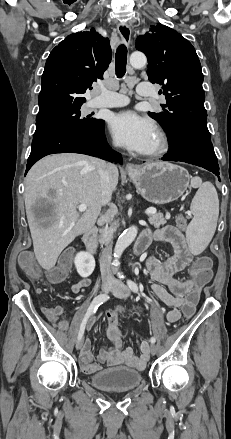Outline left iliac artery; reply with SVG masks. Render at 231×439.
<instances>
[{"label": "left iliac artery", "mask_w": 231, "mask_h": 439, "mask_svg": "<svg viewBox=\"0 0 231 439\" xmlns=\"http://www.w3.org/2000/svg\"><path fill=\"white\" fill-rule=\"evenodd\" d=\"M127 284H128L129 288H130L133 292H135V293L138 292V286H137V284H136L134 281H132V280H130V279H127ZM150 342H151L152 344H154V343L156 342L155 337H151Z\"/></svg>", "instance_id": "obj_1"}]
</instances>
